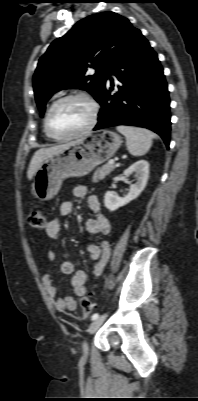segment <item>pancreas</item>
Segmentation results:
<instances>
[{
    "instance_id": "1",
    "label": "pancreas",
    "mask_w": 198,
    "mask_h": 401,
    "mask_svg": "<svg viewBox=\"0 0 198 401\" xmlns=\"http://www.w3.org/2000/svg\"><path fill=\"white\" fill-rule=\"evenodd\" d=\"M115 169L114 164L107 163L103 165L101 168L97 169L93 175V182L97 183L100 180H103L108 174H110Z\"/></svg>"
}]
</instances>
